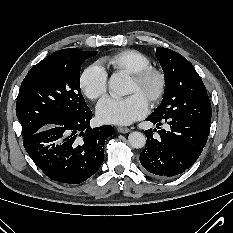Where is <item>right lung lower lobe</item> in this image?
<instances>
[{
    "label": "right lung lower lobe",
    "mask_w": 233,
    "mask_h": 233,
    "mask_svg": "<svg viewBox=\"0 0 233 233\" xmlns=\"http://www.w3.org/2000/svg\"><path fill=\"white\" fill-rule=\"evenodd\" d=\"M92 112L61 124H54L46 131L39 130L23 145L36 165L50 179L79 184L91 177L104 160L105 140L114 134L106 125L91 129Z\"/></svg>",
    "instance_id": "1"
}]
</instances>
